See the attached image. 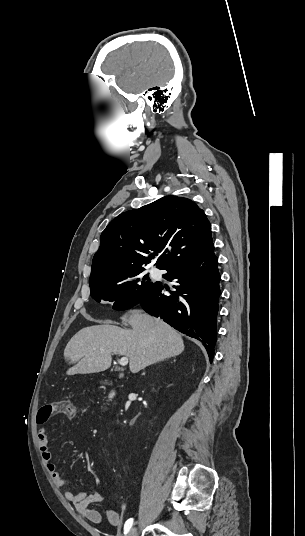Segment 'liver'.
I'll return each instance as SVG.
<instances>
[{"label":"liver","instance_id":"obj_1","mask_svg":"<svg viewBox=\"0 0 305 536\" xmlns=\"http://www.w3.org/2000/svg\"><path fill=\"white\" fill-rule=\"evenodd\" d=\"M132 330H122L103 322V326H90L77 332L64 350L69 364L68 376L105 372L112 364L113 354L129 358L132 374L165 358L179 356L184 350L183 340L160 318L132 310L126 318Z\"/></svg>","mask_w":305,"mask_h":536}]
</instances>
